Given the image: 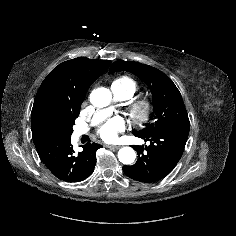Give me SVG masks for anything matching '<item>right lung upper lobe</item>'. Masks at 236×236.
<instances>
[{
	"label": "right lung upper lobe",
	"mask_w": 236,
	"mask_h": 236,
	"mask_svg": "<svg viewBox=\"0 0 236 236\" xmlns=\"http://www.w3.org/2000/svg\"><path fill=\"white\" fill-rule=\"evenodd\" d=\"M109 60L78 57L56 66L36 94L32 112V135L50 134L52 123L76 119L89 86L110 66Z\"/></svg>",
	"instance_id": "right-lung-upper-lobe-1"
}]
</instances>
